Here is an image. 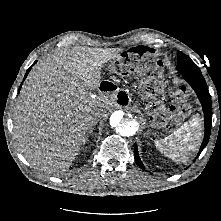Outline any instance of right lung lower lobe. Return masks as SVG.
Returning <instances> with one entry per match:
<instances>
[{
  "mask_svg": "<svg viewBox=\"0 0 221 221\" xmlns=\"http://www.w3.org/2000/svg\"><path fill=\"white\" fill-rule=\"evenodd\" d=\"M35 63H36V62H35ZM30 69H31V67H30V68L27 70V72H26V75H25L24 79L26 78V76H27V74L29 73Z\"/></svg>",
  "mask_w": 221,
  "mask_h": 221,
  "instance_id": "1",
  "label": "right lung lower lobe"
}]
</instances>
